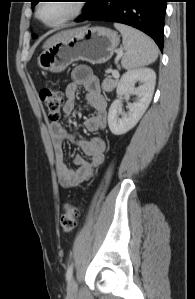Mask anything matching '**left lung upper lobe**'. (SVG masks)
Here are the masks:
<instances>
[{
    "label": "left lung upper lobe",
    "instance_id": "1",
    "mask_svg": "<svg viewBox=\"0 0 195 299\" xmlns=\"http://www.w3.org/2000/svg\"><path fill=\"white\" fill-rule=\"evenodd\" d=\"M88 1H89V0H88ZM88 1H87V2H88ZM38 2H39V0H31V5L34 6V5H36ZM87 4H88V3H87ZM86 6H87V5L84 6V9H85ZM34 37H36V36H34Z\"/></svg>",
    "mask_w": 195,
    "mask_h": 299
}]
</instances>
